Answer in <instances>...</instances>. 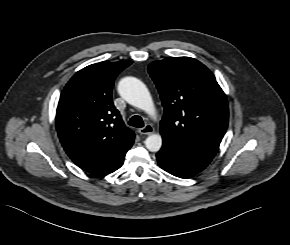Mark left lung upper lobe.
Returning <instances> with one entry per match:
<instances>
[{
  "label": "left lung upper lobe",
  "mask_w": 290,
  "mask_h": 245,
  "mask_svg": "<svg viewBox=\"0 0 290 245\" xmlns=\"http://www.w3.org/2000/svg\"><path fill=\"white\" fill-rule=\"evenodd\" d=\"M164 106L163 140L214 157L228 126V103L213 73L190 57L148 66Z\"/></svg>",
  "instance_id": "5c2ea615"
}]
</instances>
